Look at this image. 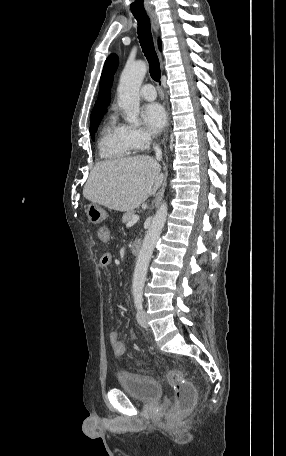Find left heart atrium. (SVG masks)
I'll use <instances>...</instances> for the list:
<instances>
[{
  "instance_id": "left-heart-atrium-1",
  "label": "left heart atrium",
  "mask_w": 286,
  "mask_h": 456,
  "mask_svg": "<svg viewBox=\"0 0 286 456\" xmlns=\"http://www.w3.org/2000/svg\"><path fill=\"white\" fill-rule=\"evenodd\" d=\"M142 116L148 128L153 132H159L166 122L165 111L162 106L157 103L145 105Z\"/></svg>"
}]
</instances>
